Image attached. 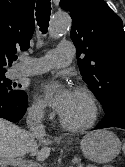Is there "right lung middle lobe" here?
Masks as SVG:
<instances>
[{
	"mask_svg": "<svg viewBox=\"0 0 125 167\" xmlns=\"http://www.w3.org/2000/svg\"><path fill=\"white\" fill-rule=\"evenodd\" d=\"M16 83L5 77V73H0V93H3L10 99H18L25 94L22 90H18Z\"/></svg>",
	"mask_w": 125,
	"mask_h": 167,
	"instance_id": "dd1d6c3e",
	"label": "right lung middle lobe"
}]
</instances>
